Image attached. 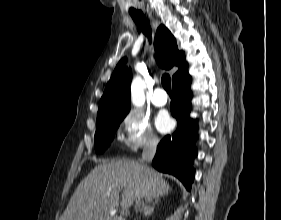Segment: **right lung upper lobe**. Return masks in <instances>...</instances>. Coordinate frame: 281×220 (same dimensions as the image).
<instances>
[{"label":"right lung upper lobe","mask_w":281,"mask_h":220,"mask_svg":"<svg viewBox=\"0 0 281 220\" xmlns=\"http://www.w3.org/2000/svg\"><path fill=\"white\" fill-rule=\"evenodd\" d=\"M155 50L157 62L161 67L171 69L173 66H178V71L172 77V84L191 79L184 53L178 51L175 38L164 25H160L157 29ZM126 61L127 59L124 58L118 63L106 85L100 100L96 122L108 117L127 114L130 110L132 74L125 67Z\"/></svg>","instance_id":"right-lung-upper-lobe-1"}]
</instances>
